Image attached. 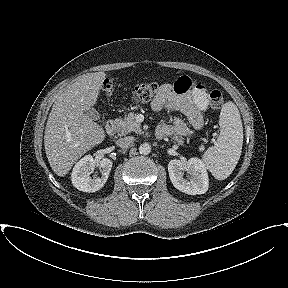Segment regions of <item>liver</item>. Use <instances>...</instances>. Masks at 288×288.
Instances as JSON below:
<instances>
[{"instance_id":"liver-1","label":"liver","mask_w":288,"mask_h":288,"mask_svg":"<svg viewBox=\"0 0 288 288\" xmlns=\"http://www.w3.org/2000/svg\"><path fill=\"white\" fill-rule=\"evenodd\" d=\"M105 76L104 72L82 75L58 96L52 106L44 146L50 167L60 177L105 139L104 129L85 113L96 104Z\"/></svg>"}]
</instances>
